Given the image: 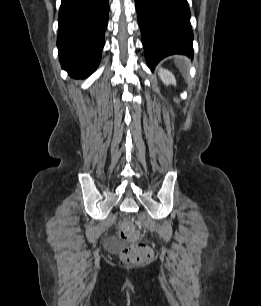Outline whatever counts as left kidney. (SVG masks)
Returning a JSON list of instances; mask_svg holds the SVG:
<instances>
[{
	"label": "left kidney",
	"instance_id": "5707ae66",
	"mask_svg": "<svg viewBox=\"0 0 261 306\" xmlns=\"http://www.w3.org/2000/svg\"><path fill=\"white\" fill-rule=\"evenodd\" d=\"M158 75L165 85H176L175 77L170 71L160 68Z\"/></svg>",
	"mask_w": 261,
	"mask_h": 306
}]
</instances>
